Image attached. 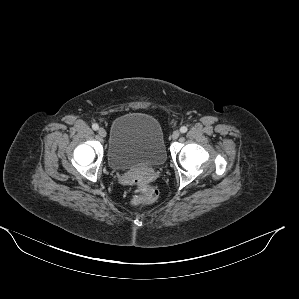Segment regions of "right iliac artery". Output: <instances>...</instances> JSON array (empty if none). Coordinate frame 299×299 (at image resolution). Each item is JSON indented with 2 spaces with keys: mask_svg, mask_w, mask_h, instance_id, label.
Segmentation results:
<instances>
[{
  "mask_svg": "<svg viewBox=\"0 0 299 299\" xmlns=\"http://www.w3.org/2000/svg\"><path fill=\"white\" fill-rule=\"evenodd\" d=\"M92 128H93V130H98L99 126H98V124L95 123V124L92 125Z\"/></svg>",
  "mask_w": 299,
  "mask_h": 299,
  "instance_id": "1",
  "label": "right iliac artery"
}]
</instances>
